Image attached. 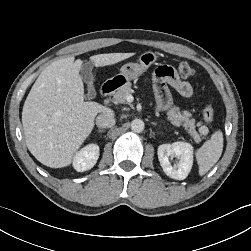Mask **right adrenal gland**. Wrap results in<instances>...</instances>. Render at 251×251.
<instances>
[{
  "instance_id": "right-adrenal-gland-1",
  "label": "right adrenal gland",
  "mask_w": 251,
  "mask_h": 251,
  "mask_svg": "<svg viewBox=\"0 0 251 251\" xmlns=\"http://www.w3.org/2000/svg\"><path fill=\"white\" fill-rule=\"evenodd\" d=\"M99 133H104L105 131L104 130H98Z\"/></svg>"
}]
</instances>
